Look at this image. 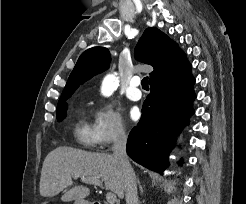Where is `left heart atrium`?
Returning a JSON list of instances; mask_svg holds the SVG:
<instances>
[{
	"instance_id": "obj_1",
	"label": "left heart atrium",
	"mask_w": 246,
	"mask_h": 204,
	"mask_svg": "<svg viewBox=\"0 0 246 204\" xmlns=\"http://www.w3.org/2000/svg\"><path fill=\"white\" fill-rule=\"evenodd\" d=\"M129 116H130L131 120H133V121L138 120L140 117V110L136 107L132 108L130 110Z\"/></svg>"
}]
</instances>
